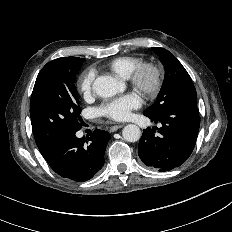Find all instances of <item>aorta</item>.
Listing matches in <instances>:
<instances>
[{
  "instance_id": "762f6f07",
  "label": "aorta",
  "mask_w": 232,
  "mask_h": 232,
  "mask_svg": "<svg viewBox=\"0 0 232 232\" xmlns=\"http://www.w3.org/2000/svg\"><path fill=\"white\" fill-rule=\"evenodd\" d=\"M92 87L94 92L103 98L112 97L125 89L123 82L107 75L97 77ZM122 136L128 142H136L141 137L140 128L137 125L128 124L123 128Z\"/></svg>"
}]
</instances>
